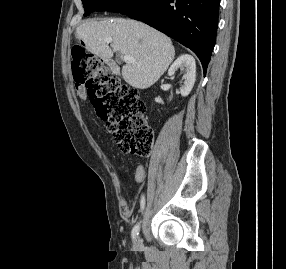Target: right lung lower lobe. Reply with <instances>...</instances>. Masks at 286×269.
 Instances as JSON below:
<instances>
[{
	"instance_id": "obj_1",
	"label": "right lung lower lobe",
	"mask_w": 286,
	"mask_h": 269,
	"mask_svg": "<svg viewBox=\"0 0 286 269\" xmlns=\"http://www.w3.org/2000/svg\"><path fill=\"white\" fill-rule=\"evenodd\" d=\"M220 0H155L129 17L190 48L206 72L215 45Z\"/></svg>"
}]
</instances>
